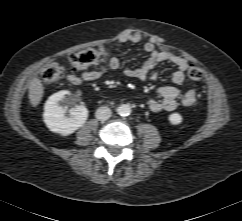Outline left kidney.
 <instances>
[{
  "label": "left kidney",
  "instance_id": "5707ae66",
  "mask_svg": "<svg viewBox=\"0 0 242 221\" xmlns=\"http://www.w3.org/2000/svg\"><path fill=\"white\" fill-rule=\"evenodd\" d=\"M168 119L173 125H178L182 122V116L179 113L170 114Z\"/></svg>",
  "mask_w": 242,
  "mask_h": 221
}]
</instances>
